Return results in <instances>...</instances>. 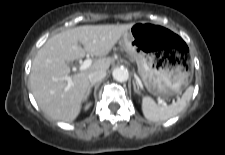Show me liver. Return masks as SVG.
<instances>
[{
	"instance_id": "obj_1",
	"label": "liver",
	"mask_w": 225,
	"mask_h": 155,
	"mask_svg": "<svg viewBox=\"0 0 225 155\" xmlns=\"http://www.w3.org/2000/svg\"><path fill=\"white\" fill-rule=\"evenodd\" d=\"M133 25H84L49 38L37 52L30 73L31 91L39 108L54 120L74 121L86 99L89 74L98 69H109L111 58L107 55ZM86 54L99 59L89 68L70 76L72 85L68 86L63 79L70 74L67 62Z\"/></svg>"
}]
</instances>
